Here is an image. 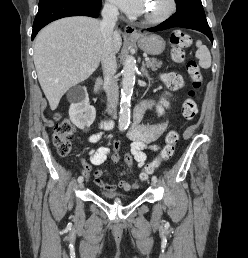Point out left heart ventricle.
<instances>
[{"mask_svg": "<svg viewBox=\"0 0 248 258\" xmlns=\"http://www.w3.org/2000/svg\"><path fill=\"white\" fill-rule=\"evenodd\" d=\"M167 7V0H150L148 2L146 11L144 12L145 17L156 16L165 10Z\"/></svg>", "mask_w": 248, "mask_h": 258, "instance_id": "b2bd125f", "label": "left heart ventricle"}]
</instances>
